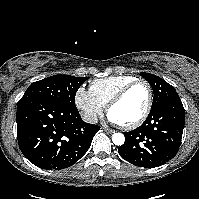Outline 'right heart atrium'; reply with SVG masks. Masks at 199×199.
Here are the masks:
<instances>
[{"mask_svg": "<svg viewBox=\"0 0 199 199\" xmlns=\"http://www.w3.org/2000/svg\"><path fill=\"white\" fill-rule=\"evenodd\" d=\"M75 103L84 119L94 123L103 112V105L97 101L89 90L80 87L75 95Z\"/></svg>", "mask_w": 199, "mask_h": 199, "instance_id": "obj_1", "label": "right heart atrium"}]
</instances>
